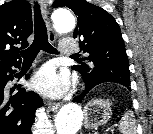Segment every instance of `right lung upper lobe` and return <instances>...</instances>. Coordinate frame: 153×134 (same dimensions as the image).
<instances>
[{"instance_id":"1","label":"right lung upper lobe","mask_w":153,"mask_h":134,"mask_svg":"<svg viewBox=\"0 0 153 134\" xmlns=\"http://www.w3.org/2000/svg\"><path fill=\"white\" fill-rule=\"evenodd\" d=\"M32 34L31 5L25 0H15L0 6V68L21 62L19 49L28 46ZM21 44V48L15 45Z\"/></svg>"}]
</instances>
